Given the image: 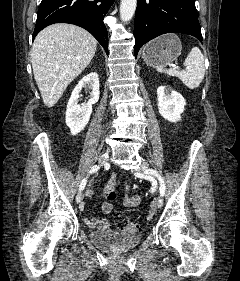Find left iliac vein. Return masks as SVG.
<instances>
[{
	"label": "left iliac vein",
	"mask_w": 240,
	"mask_h": 281,
	"mask_svg": "<svg viewBox=\"0 0 240 281\" xmlns=\"http://www.w3.org/2000/svg\"><path fill=\"white\" fill-rule=\"evenodd\" d=\"M147 169H148V164L143 161V162L141 163V165L139 166V168H138L137 170H135V173H136L137 175L142 176V175H143V172H144L145 170H147ZM156 205H157L159 208L162 207V205H163V197H162V195H159V196H158L157 201H156Z\"/></svg>",
	"instance_id": "4c4485c4"
}]
</instances>
